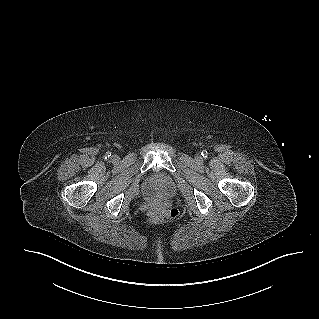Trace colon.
<instances>
[{
	"label": "colon",
	"mask_w": 319,
	"mask_h": 319,
	"mask_svg": "<svg viewBox=\"0 0 319 319\" xmlns=\"http://www.w3.org/2000/svg\"><path fill=\"white\" fill-rule=\"evenodd\" d=\"M148 215L153 219H159V218H162L165 216L174 217V216H176V212L173 210L169 211V210L162 208V207H153V208L149 209Z\"/></svg>",
	"instance_id": "5ec220e1"
}]
</instances>
